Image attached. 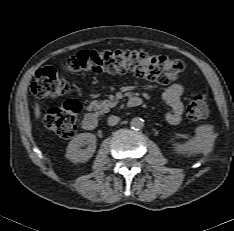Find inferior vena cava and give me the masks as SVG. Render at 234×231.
<instances>
[{"mask_svg":"<svg viewBox=\"0 0 234 231\" xmlns=\"http://www.w3.org/2000/svg\"><path fill=\"white\" fill-rule=\"evenodd\" d=\"M119 121H120V118H119L118 116L111 115V116L108 118V124H109L110 126L116 125Z\"/></svg>","mask_w":234,"mask_h":231,"instance_id":"inferior-vena-cava-1","label":"inferior vena cava"}]
</instances>
